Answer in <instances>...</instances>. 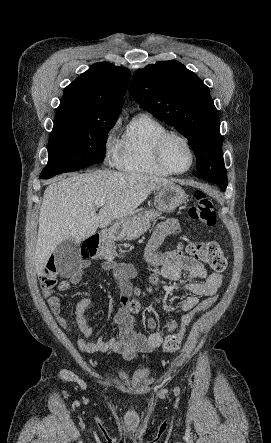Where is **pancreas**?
Returning <instances> with one entry per match:
<instances>
[{
    "mask_svg": "<svg viewBox=\"0 0 271 443\" xmlns=\"http://www.w3.org/2000/svg\"><path fill=\"white\" fill-rule=\"evenodd\" d=\"M158 216H160V212L144 210V212H139L136 216H132L130 220H126V222L123 223L127 235L126 239L139 237L143 231H146V229L150 227L151 220H155Z\"/></svg>",
    "mask_w": 271,
    "mask_h": 443,
    "instance_id": "pancreas-1",
    "label": "pancreas"
}]
</instances>
